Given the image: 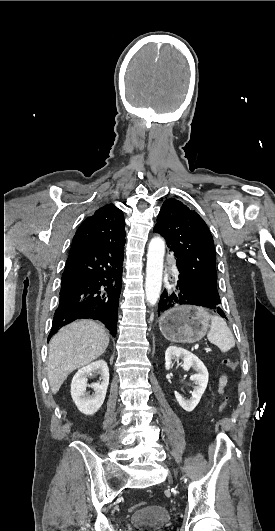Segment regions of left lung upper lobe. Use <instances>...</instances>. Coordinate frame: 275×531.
I'll list each match as a JSON object with an SVG mask.
<instances>
[{"mask_svg":"<svg viewBox=\"0 0 275 531\" xmlns=\"http://www.w3.org/2000/svg\"><path fill=\"white\" fill-rule=\"evenodd\" d=\"M154 231L165 238L177 257V285L199 304L217 307L214 242L205 221L181 201L170 198L161 207Z\"/></svg>","mask_w":275,"mask_h":531,"instance_id":"left-lung-upper-lobe-1","label":"left lung upper lobe"}]
</instances>
